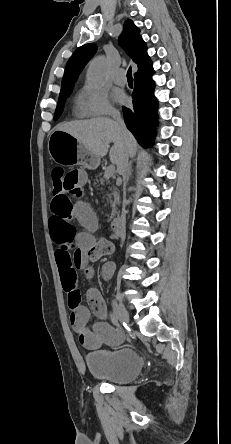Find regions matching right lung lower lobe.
Returning a JSON list of instances; mask_svg holds the SVG:
<instances>
[{"label":"right lung lower lobe","instance_id":"obj_1","mask_svg":"<svg viewBox=\"0 0 231 444\" xmlns=\"http://www.w3.org/2000/svg\"><path fill=\"white\" fill-rule=\"evenodd\" d=\"M154 70L152 66L135 75L133 108H123L124 121L127 128L133 133L139 144L144 147L154 145V127L156 125L157 114L155 109L158 102L154 97L155 83L152 80Z\"/></svg>","mask_w":231,"mask_h":444}]
</instances>
